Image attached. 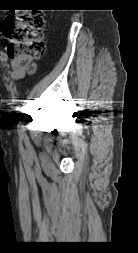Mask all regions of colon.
Instances as JSON below:
<instances>
[{"mask_svg":"<svg viewBox=\"0 0 138 253\" xmlns=\"http://www.w3.org/2000/svg\"><path fill=\"white\" fill-rule=\"evenodd\" d=\"M44 25L43 15L36 12L12 14L1 22V31L8 40L7 55L23 68L31 70L32 60L45 53Z\"/></svg>","mask_w":138,"mask_h":253,"instance_id":"5ec220e1","label":"colon"}]
</instances>
